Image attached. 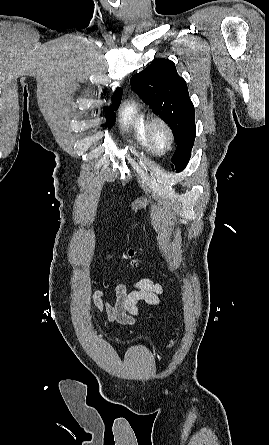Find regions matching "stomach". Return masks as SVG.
Here are the masks:
<instances>
[{"mask_svg":"<svg viewBox=\"0 0 269 445\" xmlns=\"http://www.w3.org/2000/svg\"><path fill=\"white\" fill-rule=\"evenodd\" d=\"M147 199H138L135 200L132 204L133 210L137 211V209H140L141 207H145L147 205Z\"/></svg>","mask_w":269,"mask_h":445,"instance_id":"0dacf381","label":"stomach"}]
</instances>
